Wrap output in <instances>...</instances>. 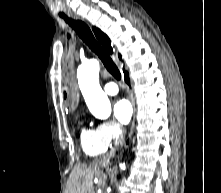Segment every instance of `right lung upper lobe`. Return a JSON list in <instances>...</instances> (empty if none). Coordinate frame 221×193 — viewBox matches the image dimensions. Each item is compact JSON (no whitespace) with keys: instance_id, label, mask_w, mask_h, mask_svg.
Wrapping results in <instances>:
<instances>
[{"instance_id":"1","label":"right lung upper lobe","mask_w":221,"mask_h":193,"mask_svg":"<svg viewBox=\"0 0 221 193\" xmlns=\"http://www.w3.org/2000/svg\"><path fill=\"white\" fill-rule=\"evenodd\" d=\"M93 31L95 33V36L97 37V39L99 40V42L103 45V47L110 53L112 54V48H111V44H110V40L107 37V35H105L101 30L93 27ZM120 57V56H119ZM125 73V71H124Z\"/></svg>"}]
</instances>
